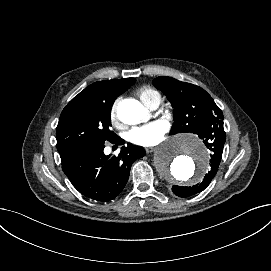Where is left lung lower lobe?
I'll list each match as a JSON object with an SVG mask.
<instances>
[{
	"instance_id": "0a47b994",
	"label": "left lung lower lobe",
	"mask_w": 271,
	"mask_h": 271,
	"mask_svg": "<svg viewBox=\"0 0 271 271\" xmlns=\"http://www.w3.org/2000/svg\"><path fill=\"white\" fill-rule=\"evenodd\" d=\"M206 147L211 151V170L205 175L203 181L192 187H182L174 185L172 191L179 197H188L204 190L216 175L217 169L221 162L226 134L223 129V121L212 130L199 135Z\"/></svg>"
}]
</instances>
